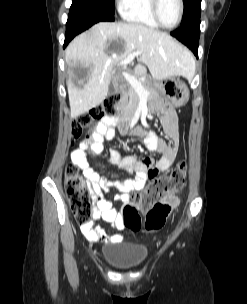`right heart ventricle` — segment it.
<instances>
[{"instance_id": "right-heart-ventricle-1", "label": "right heart ventricle", "mask_w": 247, "mask_h": 304, "mask_svg": "<svg viewBox=\"0 0 247 304\" xmlns=\"http://www.w3.org/2000/svg\"><path fill=\"white\" fill-rule=\"evenodd\" d=\"M121 15L129 22L151 28L159 27L152 14L151 0H123Z\"/></svg>"}]
</instances>
